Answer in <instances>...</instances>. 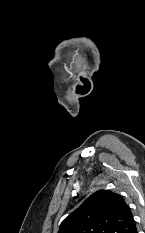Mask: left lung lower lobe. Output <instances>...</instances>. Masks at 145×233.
<instances>
[{
  "label": "left lung lower lobe",
  "instance_id": "0a47b994",
  "mask_svg": "<svg viewBox=\"0 0 145 233\" xmlns=\"http://www.w3.org/2000/svg\"><path fill=\"white\" fill-rule=\"evenodd\" d=\"M132 233H137V229H136V227H135V229L132 231Z\"/></svg>",
  "mask_w": 145,
  "mask_h": 233
}]
</instances>
